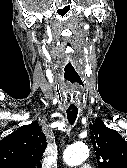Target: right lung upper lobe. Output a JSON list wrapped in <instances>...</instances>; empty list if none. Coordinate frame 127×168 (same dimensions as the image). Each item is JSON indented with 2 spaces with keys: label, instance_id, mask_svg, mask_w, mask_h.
<instances>
[{
  "label": "right lung upper lobe",
  "instance_id": "obj_1",
  "mask_svg": "<svg viewBox=\"0 0 127 168\" xmlns=\"http://www.w3.org/2000/svg\"><path fill=\"white\" fill-rule=\"evenodd\" d=\"M46 147L37 122L21 126L0 141V168H41Z\"/></svg>",
  "mask_w": 127,
  "mask_h": 168
}]
</instances>
